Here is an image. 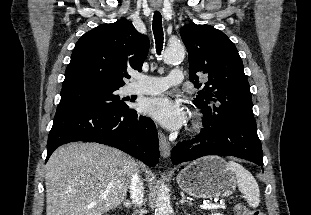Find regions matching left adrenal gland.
<instances>
[{"instance_id": "obj_1", "label": "left adrenal gland", "mask_w": 311, "mask_h": 215, "mask_svg": "<svg viewBox=\"0 0 311 215\" xmlns=\"http://www.w3.org/2000/svg\"><path fill=\"white\" fill-rule=\"evenodd\" d=\"M181 197H182V199L180 200V205H183V204H185V203H187V204H189V205H192V204H193L192 202L186 200L185 195H184L183 192H181Z\"/></svg>"}]
</instances>
